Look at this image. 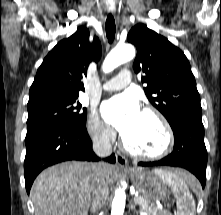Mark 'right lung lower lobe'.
<instances>
[{
  "label": "right lung lower lobe",
  "mask_w": 221,
  "mask_h": 215,
  "mask_svg": "<svg viewBox=\"0 0 221 215\" xmlns=\"http://www.w3.org/2000/svg\"><path fill=\"white\" fill-rule=\"evenodd\" d=\"M25 144L24 175L28 194L36 176L51 165L67 160H99L92 151L86 123L79 126L61 122L43 125L27 131ZM105 160L114 163L115 156Z\"/></svg>",
  "instance_id": "obj_1"
}]
</instances>
